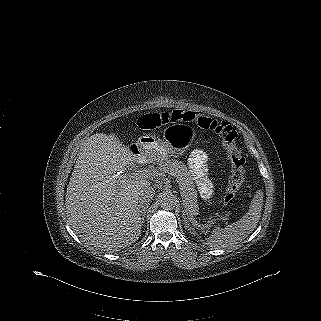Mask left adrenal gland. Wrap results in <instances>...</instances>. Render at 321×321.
I'll return each instance as SVG.
<instances>
[{
    "instance_id": "obj_1",
    "label": "left adrenal gland",
    "mask_w": 321,
    "mask_h": 321,
    "mask_svg": "<svg viewBox=\"0 0 321 321\" xmlns=\"http://www.w3.org/2000/svg\"><path fill=\"white\" fill-rule=\"evenodd\" d=\"M186 219H187L186 216H184V223H185L186 227L188 228L189 226H188V222H186L187 221Z\"/></svg>"
}]
</instances>
